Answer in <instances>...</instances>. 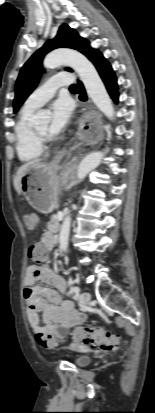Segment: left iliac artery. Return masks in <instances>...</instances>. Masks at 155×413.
I'll return each mask as SVG.
<instances>
[{"instance_id": "obj_1", "label": "left iliac artery", "mask_w": 155, "mask_h": 413, "mask_svg": "<svg viewBox=\"0 0 155 413\" xmlns=\"http://www.w3.org/2000/svg\"><path fill=\"white\" fill-rule=\"evenodd\" d=\"M72 291L75 293L76 296L80 293V288L78 286L73 287Z\"/></svg>"}]
</instances>
